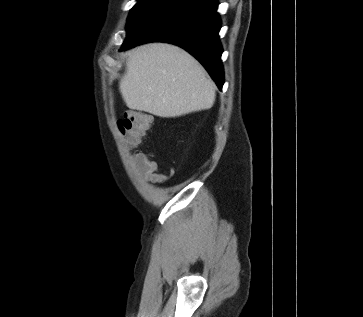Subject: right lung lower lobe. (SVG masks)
<instances>
[{
    "label": "right lung lower lobe",
    "mask_w": 363,
    "mask_h": 317,
    "mask_svg": "<svg viewBox=\"0 0 363 317\" xmlns=\"http://www.w3.org/2000/svg\"><path fill=\"white\" fill-rule=\"evenodd\" d=\"M217 7V0H182L153 19L134 39L124 42L121 51L153 41L178 45L201 62L221 89L224 73Z\"/></svg>",
    "instance_id": "1"
}]
</instances>
